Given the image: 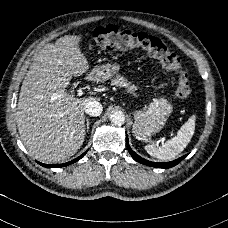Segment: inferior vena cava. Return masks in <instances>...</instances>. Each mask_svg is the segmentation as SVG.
<instances>
[{"mask_svg": "<svg viewBox=\"0 0 228 228\" xmlns=\"http://www.w3.org/2000/svg\"><path fill=\"white\" fill-rule=\"evenodd\" d=\"M84 110L90 116H99L102 113L103 107L100 102L92 99L86 102Z\"/></svg>", "mask_w": 228, "mask_h": 228, "instance_id": "inferior-vena-cava-1", "label": "inferior vena cava"}]
</instances>
